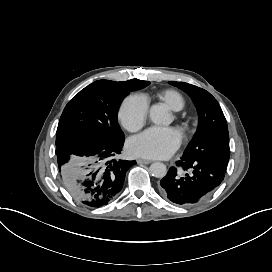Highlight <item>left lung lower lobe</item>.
Returning a JSON list of instances; mask_svg holds the SVG:
<instances>
[{
	"mask_svg": "<svg viewBox=\"0 0 272 272\" xmlns=\"http://www.w3.org/2000/svg\"><path fill=\"white\" fill-rule=\"evenodd\" d=\"M184 169L193 168V174L177 177V169L171 167L160 181V193L173 203L190 206L200 202L224 179L227 164L214 159H182L177 162Z\"/></svg>",
	"mask_w": 272,
	"mask_h": 272,
	"instance_id": "0a47b994",
	"label": "left lung lower lobe"
}]
</instances>
